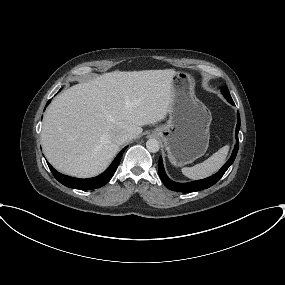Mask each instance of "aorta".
I'll use <instances>...</instances> for the list:
<instances>
[{
	"mask_svg": "<svg viewBox=\"0 0 285 285\" xmlns=\"http://www.w3.org/2000/svg\"><path fill=\"white\" fill-rule=\"evenodd\" d=\"M146 148L149 152L156 153L160 148L159 142L156 139H149L146 142Z\"/></svg>",
	"mask_w": 285,
	"mask_h": 285,
	"instance_id": "762f6f07",
	"label": "aorta"
}]
</instances>
